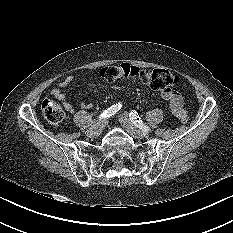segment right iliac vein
I'll list each match as a JSON object with an SVG mask.
<instances>
[{"mask_svg":"<svg viewBox=\"0 0 233 233\" xmlns=\"http://www.w3.org/2000/svg\"><path fill=\"white\" fill-rule=\"evenodd\" d=\"M106 125L105 119H100L94 122V124L87 130V135L91 137H96L101 134Z\"/></svg>","mask_w":233,"mask_h":233,"instance_id":"1","label":"right iliac vein"}]
</instances>
